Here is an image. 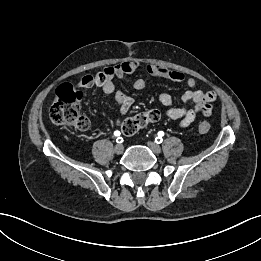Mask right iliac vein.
<instances>
[{
  "instance_id": "right-iliac-vein-1",
  "label": "right iliac vein",
  "mask_w": 261,
  "mask_h": 261,
  "mask_svg": "<svg viewBox=\"0 0 261 261\" xmlns=\"http://www.w3.org/2000/svg\"><path fill=\"white\" fill-rule=\"evenodd\" d=\"M124 151V147L122 144H117L115 147H114V152L116 154H122Z\"/></svg>"
}]
</instances>
